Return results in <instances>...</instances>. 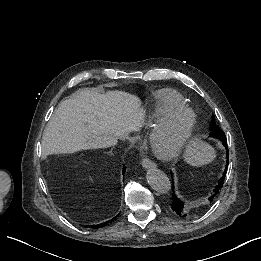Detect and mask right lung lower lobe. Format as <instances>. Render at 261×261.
<instances>
[{"label":"right lung lower lobe","mask_w":261,"mask_h":261,"mask_svg":"<svg viewBox=\"0 0 261 261\" xmlns=\"http://www.w3.org/2000/svg\"><path fill=\"white\" fill-rule=\"evenodd\" d=\"M123 173H125V167H123ZM117 216H115L112 220L106 221L104 223H100L98 225H91V227L96 228V229L102 228V227L108 225L109 223H111L113 220H115Z\"/></svg>","instance_id":"obj_1"}]
</instances>
